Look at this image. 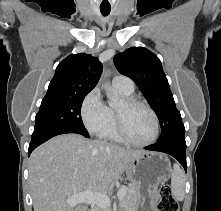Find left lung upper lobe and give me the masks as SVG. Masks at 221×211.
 <instances>
[{"mask_svg":"<svg viewBox=\"0 0 221 211\" xmlns=\"http://www.w3.org/2000/svg\"><path fill=\"white\" fill-rule=\"evenodd\" d=\"M114 64L137 84L157 114L161 125L157 142L184 136V124L159 58L144 47H131L115 55Z\"/></svg>","mask_w":221,"mask_h":211,"instance_id":"5c2ea615","label":"left lung upper lobe"}]
</instances>
